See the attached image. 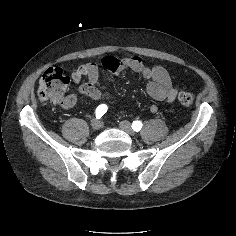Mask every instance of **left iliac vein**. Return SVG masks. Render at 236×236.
<instances>
[{"label":"left iliac vein","mask_w":236,"mask_h":236,"mask_svg":"<svg viewBox=\"0 0 236 236\" xmlns=\"http://www.w3.org/2000/svg\"><path fill=\"white\" fill-rule=\"evenodd\" d=\"M119 126H120V128L123 130V131H125L127 134H129V135H131V136H135V132H134V130L132 129V127H131V124H130V122H128V121H121L120 123H119Z\"/></svg>","instance_id":"4c4485c4"}]
</instances>
